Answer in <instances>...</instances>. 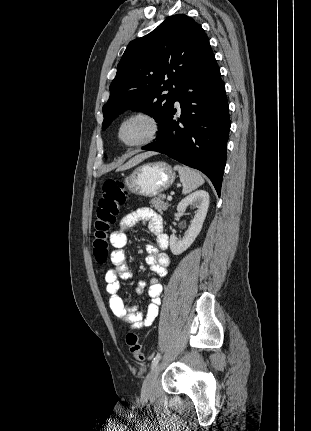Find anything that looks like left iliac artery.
I'll return each mask as SVG.
<instances>
[{"label":"left iliac artery","instance_id":"1","mask_svg":"<svg viewBox=\"0 0 311 431\" xmlns=\"http://www.w3.org/2000/svg\"><path fill=\"white\" fill-rule=\"evenodd\" d=\"M159 359H160V353H157L156 356L154 357L153 361H152L151 369H153L157 365Z\"/></svg>","mask_w":311,"mask_h":431}]
</instances>
